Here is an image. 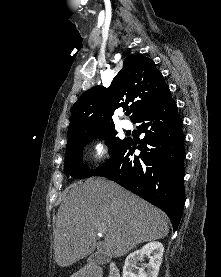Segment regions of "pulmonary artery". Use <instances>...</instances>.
Here are the masks:
<instances>
[{"label":"pulmonary artery","instance_id":"pulmonary-artery-1","mask_svg":"<svg viewBox=\"0 0 221 277\" xmlns=\"http://www.w3.org/2000/svg\"><path fill=\"white\" fill-rule=\"evenodd\" d=\"M121 125L124 129H130L132 127L131 123L127 120H122Z\"/></svg>","mask_w":221,"mask_h":277}]
</instances>
